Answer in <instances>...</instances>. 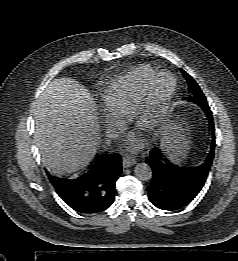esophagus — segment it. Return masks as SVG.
Wrapping results in <instances>:
<instances>
[{"instance_id": "obj_1", "label": "esophagus", "mask_w": 238, "mask_h": 261, "mask_svg": "<svg viewBox=\"0 0 238 261\" xmlns=\"http://www.w3.org/2000/svg\"><path fill=\"white\" fill-rule=\"evenodd\" d=\"M136 164V159L132 157H124L122 159V165L124 168H128Z\"/></svg>"}]
</instances>
